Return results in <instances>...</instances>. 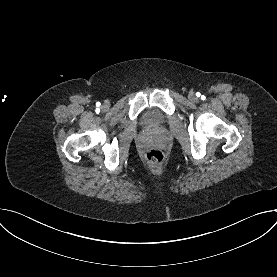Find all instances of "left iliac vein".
<instances>
[{
  "label": "left iliac vein",
  "mask_w": 277,
  "mask_h": 277,
  "mask_svg": "<svg viewBox=\"0 0 277 277\" xmlns=\"http://www.w3.org/2000/svg\"><path fill=\"white\" fill-rule=\"evenodd\" d=\"M188 98L192 101V102H195L197 100V97L195 96L194 93H190Z\"/></svg>",
  "instance_id": "1"
}]
</instances>
